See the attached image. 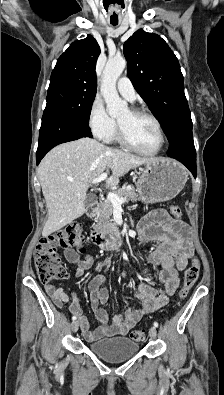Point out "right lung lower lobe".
Listing matches in <instances>:
<instances>
[{
  "instance_id": "1",
  "label": "right lung lower lobe",
  "mask_w": 224,
  "mask_h": 395,
  "mask_svg": "<svg viewBox=\"0 0 224 395\" xmlns=\"http://www.w3.org/2000/svg\"><path fill=\"white\" fill-rule=\"evenodd\" d=\"M83 137H92L89 126L72 117L54 111H44L36 152L37 165L56 145Z\"/></svg>"
}]
</instances>
